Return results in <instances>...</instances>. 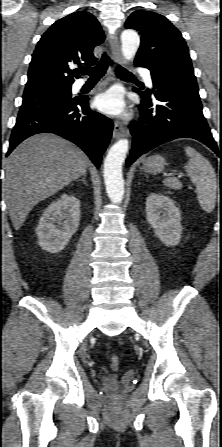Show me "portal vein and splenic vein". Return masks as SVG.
<instances>
[{
	"label": "portal vein and splenic vein",
	"instance_id": "portal-vein-and-splenic-vein-1",
	"mask_svg": "<svg viewBox=\"0 0 222 447\" xmlns=\"http://www.w3.org/2000/svg\"><path fill=\"white\" fill-rule=\"evenodd\" d=\"M182 176H183L182 174H179V175H178L179 178H182Z\"/></svg>",
	"mask_w": 222,
	"mask_h": 447
}]
</instances>
